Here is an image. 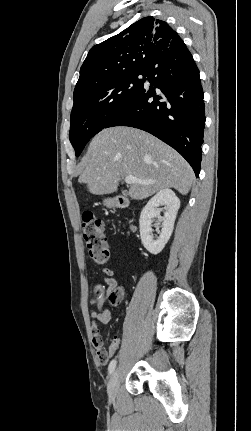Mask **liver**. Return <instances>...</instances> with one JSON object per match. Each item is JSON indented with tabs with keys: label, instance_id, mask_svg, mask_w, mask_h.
<instances>
[{
	"label": "liver",
	"instance_id": "liver-1",
	"mask_svg": "<svg viewBox=\"0 0 251 431\" xmlns=\"http://www.w3.org/2000/svg\"><path fill=\"white\" fill-rule=\"evenodd\" d=\"M127 176L152 181L131 184L128 195L133 200L146 199L164 188L186 195L194 180L187 161L149 133L122 126L102 130L81 163L79 182L87 184L91 194L105 195L115 192Z\"/></svg>",
	"mask_w": 251,
	"mask_h": 431
}]
</instances>
